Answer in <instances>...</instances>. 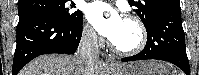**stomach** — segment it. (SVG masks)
Returning <instances> with one entry per match:
<instances>
[{
	"instance_id": "0dacf381",
	"label": "stomach",
	"mask_w": 199,
	"mask_h": 75,
	"mask_svg": "<svg viewBox=\"0 0 199 75\" xmlns=\"http://www.w3.org/2000/svg\"><path fill=\"white\" fill-rule=\"evenodd\" d=\"M173 73L169 64L157 61L131 62L123 64L116 71V75H172Z\"/></svg>"
}]
</instances>
